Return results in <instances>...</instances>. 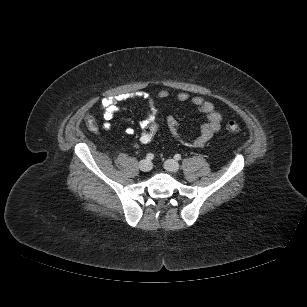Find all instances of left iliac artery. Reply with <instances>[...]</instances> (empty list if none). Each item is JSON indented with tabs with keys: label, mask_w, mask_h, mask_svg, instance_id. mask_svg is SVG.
Masks as SVG:
<instances>
[{
	"label": "left iliac artery",
	"mask_w": 307,
	"mask_h": 307,
	"mask_svg": "<svg viewBox=\"0 0 307 307\" xmlns=\"http://www.w3.org/2000/svg\"><path fill=\"white\" fill-rule=\"evenodd\" d=\"M174 159L177 160V161L181 160V155L175 154Z\"/></svg>",
	"instance_id": "left-iliac-artery-1"
}]
</instances>
